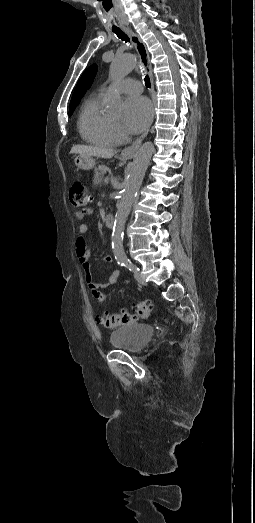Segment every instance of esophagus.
<instances>
[{"label":"esophagus","mask_w":255,"mask_h":523,"mask_svg":"<svg viewBox=\"0 0 255 523\" xmlns=\"http://www.w3.org/2000/svg\"><path fill=\"white\" fill-rule=\"evenodd\" d=\"M124 30L129 35V37L131 38V41L136 46V50L140 57L141 66L148 72V75L150 77L151 90L153 91L154 90V79H153V74H152V65L150 62V57H149V53L146 48V45L141 40L139 35L134 33L130 28H124ZM154 115H155V106L152 107V121H153ZM148 132H149V128L139 138H137V140H135V142H133L131 145H129V147L123 148V150L121 152L122 155H124L125 157H133L135 155L136 151L138 150V148L140 147L142 141L147 136Z\"/></svg>","instance_id":"obj_1"}]
</instances>
